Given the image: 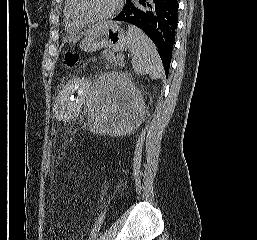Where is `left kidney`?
I'll return each instance as SVG.
<instances>
[{"instance_id": "5707ae66", "label": "left kidney", "mask_w": 257, "mask_h": 240, "mask_svg": "<svg viewBox=\"0 0 257 240\" xmlns=\"http://www.w3.org/2000/svg\"><path fill=\"white\" fill-rule=\"evenodd\" d=\"M144 114L143 96L126 74L106 73L94 83L88 115L97 133L125 135L139 126Z\"/></svg>"}]
</instances>
